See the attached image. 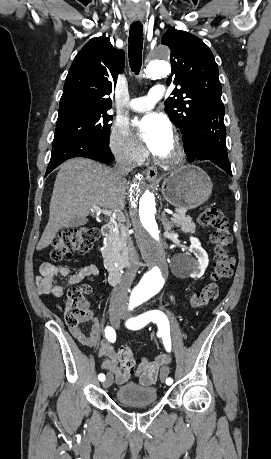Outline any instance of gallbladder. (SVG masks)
I'll list each match as a JSON object with an SVG mask.
<instances>
[{
	"mask_svg": "<svg viewBox=\"0 0 271 459\" xmlns=\"http://www.w3.org/2000/svg\"><path fill=\"white\" fill-rule=\"evenodd\" d=\"M83 224H86L84 218H75V220L68 222L67 226H64V228H78V226H83Z\"/></svg>",
	"mask_w": 271,
	"mask_h": 459,
	"instance_id": "1",
	"label": "gallbladder"
}]
</instances>
